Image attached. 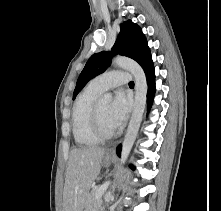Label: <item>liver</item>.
I'll list each match as a JSON object with an SVG mask.
<instances>
[{
    "instance_id": "liver-1",
    "label": "liver",
    "mask_w": 221,
    "mask_h": 211,
    "mask_svg": "<svg viewBox=\"0 0 221 211\" xmlns=\"http://www.w3.org/2000/svg\"><path fill=\"white\" fill-rule=\"evenodd\" d=\"M103 148L91 146L70 152L63 192V211H83L84 201L97 178L103 157Z\"/></svg>"
}]
</instances>
